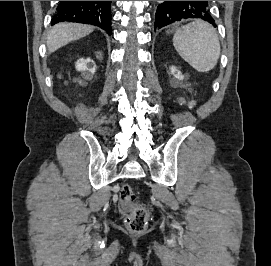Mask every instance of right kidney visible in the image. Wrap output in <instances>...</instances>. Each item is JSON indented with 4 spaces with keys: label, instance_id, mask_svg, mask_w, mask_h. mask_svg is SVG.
<instances>
[{
    "label": "right kidney",
    "instance_id": "right-kidney-1",
    "mask_svg": "<svg viewBox=\"0 0 271 266\" xmlns=\"http://www.w3.org/2000/svg\"><path fill=\"white\" fill-rule=\"evenodd\" d=\"M89 62H92V60L90 58H87V59H79L76 64H75V67L78 71H86L88 70L90 73L94 74L95 72V65L93 68H88L87 67V64Z\"/></svg>",
    "mask_w": 271,
    "mask_h": 266
}]
</instances>
